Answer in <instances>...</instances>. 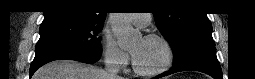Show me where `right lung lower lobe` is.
<instances>
[{
  "label": "right lung lower lobe",
  "mask_w": 255,
  "mask_h": 79,
  "mask_svg": "<svg viewBox=\"0 0 255 79\" xmlns=\"http://www.w3.org/2000/svg\"><path fill=\"white\" fill-rule=\"evenodd\" d=\"M100 56L83 54V53H75V52H67V51H51V52L36 54L31 64L29 74L31 77L39 67L54 60L69 59V60H76L83 63L92 64L98 61L100 59Z\"/></svg>",
  "instance_id": "98d812e1"
}]
</instances>
